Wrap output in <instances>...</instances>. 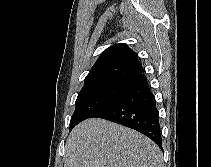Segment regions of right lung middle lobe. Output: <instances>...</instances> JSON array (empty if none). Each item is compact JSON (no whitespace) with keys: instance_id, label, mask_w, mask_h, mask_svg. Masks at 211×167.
<instances>
[{"instance_id":"right-lung-middle-lobe-1","label":"right lung middle lobe","mask_w":211,"mask_h":167,"mask_svg":"<svg viewBox=\"0 0 211 167\" xmlns=\"http://www.w3.org/2000/svg\"><path fill=\"white\" fill-rule=\"evenodd\" d=\"M130 79H101L85 83L76 99L70 120V131L81 121L96 113L122 95L130 86Z\"/></svg>"}]
</instances>
